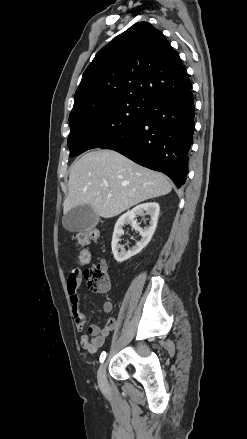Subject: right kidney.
<instances>
[{
    "instance_id": "obj_1",
    "label": "right kidney",
    "mask_w": 247,
    "mask_h": 439,
    "mask_svg": "<svg viewBox=\"0 0 247 439\" xmlns=\"http://www.w3.org/2000/svg\"><path fill=\"white\" fill-rule=\"evenodd\" d=\"M160 207L156 202H149L140 204L134 207L132 210H128L125 214L120 216L117 220L114 232L112 236V253L117 262H124L131 258L132 256L141 252V250L146 247V245L150 242L158 221ZM150 216L149 226L144 229L140 228L137 224L136 217L143 215ZM131 224L135 230H137L141 235V240L136 243L130 250L126 251L120 244V237L124 234L123 227L125 225ZM120 250V251H119Z\"/></svg>"
}]
</instances>
